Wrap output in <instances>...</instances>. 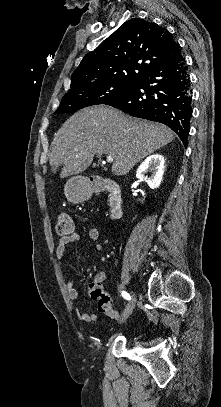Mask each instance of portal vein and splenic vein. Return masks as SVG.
<instances>
[{
    "label": "portal vein and splenic vein",
    "instance_id": "obj_1",
    "mask_svg": "<svg viewBox=\"0 0 221 407\" xmlns=\"http://www.w3.org/2000/svg\"><path fill=\"white\" fill-rule=\"evenodd\" d=\"M106 161H107L108 163H112V162L114 161L113 156L108 155V156L106 157Z\"/></svg>",
    "mask_w": 221,
    "mask_h": 407
}]
</instances>
